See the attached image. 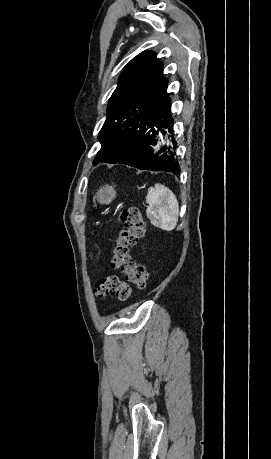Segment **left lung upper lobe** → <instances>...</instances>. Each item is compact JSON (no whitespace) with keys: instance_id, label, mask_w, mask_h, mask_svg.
Here are the masks:
<instances>
[{"instance_id":"1","label":"left lung upper lobe","mask_w":271,"mask_h":459,"mask_svg":"<svg viewBox=\"0 0 271 459\" xmlns=\"http://www.w3.org/2000/svg\"><path fill=\"white\" fill-rule=\"evenodd\" d=\"M162 71V63L151 51L140 53L125 66L109 100L107 118L98 136L101 149L94 164L100 163L108 154L109 136L118 126L151 109L156 91L166 82Z\"/></svg>"}]
</instances>
